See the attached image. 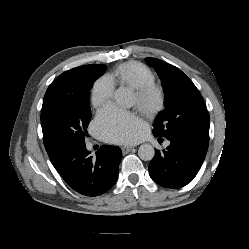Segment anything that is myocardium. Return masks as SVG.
<instances>
[{
    "instance_id": "1",
    "label": "myocardium",
    "mask_w": 249,
    "mask_h": 249,
    "mask_svg": "<svg viewBox=\"0 0 249 249\" xmlns=\"http://www.w3.org/2000/svg\"><path fill=\"white\" fill-rule=\"evenodd\" d=\"M137 99L136 108L144 116L151 118L157 115L165 106L166 93L162 86L156 83H149L134 89ZM154 97V102L149 104L150 97Z\"/></svg>"
}]
</instances>
